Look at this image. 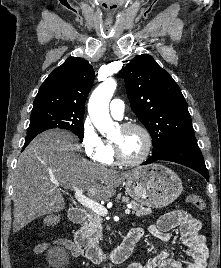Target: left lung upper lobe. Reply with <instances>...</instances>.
<instances>
[{"mask_svg": "<svg viewBox=\"0 0 221 268\" xmlns=\"http://www.w3.org/2000/svg\"><path fill=\"white\" fill-rule=\"evenodd\" d=\"M123 77L130 106L152 137V154L162 152L174 140L195 136L179 86L150 55L131 60Z\"/></svg>", "mask_w": 221, "mask_h": 268, "instance_id": "left-lung-upper-lobe-1", "label": "left lung upper lobe"}]
</instances>
